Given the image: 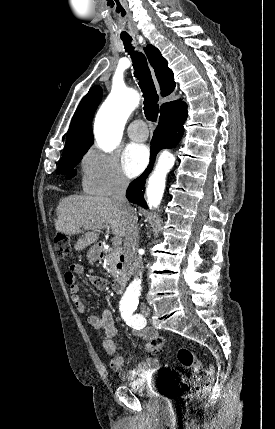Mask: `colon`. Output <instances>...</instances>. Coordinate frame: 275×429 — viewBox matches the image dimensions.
<instances>
[{"instance_id":"1","label":"colon","mask_w":275,"mask_h":429,"mask_svg":"<svg viewBox=\"0 0 275 429\" xmlns=\"http://www.w3.org/2000/svg\"><path fill=\"white\" fill-rule=\"evenodd\" d=\"M54 249L56 255L63 260H69L72 255V249L68 238L62 234H56L54 238ZM163 338L154 341L151 345V352H155L163 345ZM177 357L181 365L190 369L193 375L184 378L179 384L183 391L180 398L182 404L188 405L200 400L209 390L213 381L212 368H204L201 361L189 349L182 347L178 350ZM205 373V379L201 381L199 374Z\"/></svg>"}]
</instances>
